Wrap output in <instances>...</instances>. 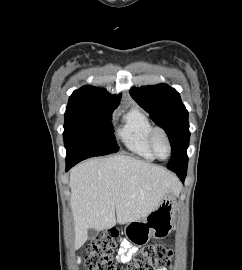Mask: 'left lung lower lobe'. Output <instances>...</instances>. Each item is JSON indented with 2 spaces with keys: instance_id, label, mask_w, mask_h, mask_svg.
<instances>
[{
  "instance_id": "obj_1",
  "label": "left lung lower lobe",
  "mask_w": 242,
  "mask_h": 270,
  "mask_svg": "<svg viewBox=\"0 0 242 270\" xmlns=\"http://www.w3.org/2000/svg\"><path fill=\"white\" fill-rule=\"evenodd\" d=\"M175 173H176V172H175ZM176 174H177V176L180 178V180H181L182 182H184L185 177H186V172H177Z\"/></svg>"
}]
</instances>
